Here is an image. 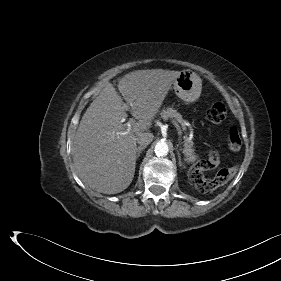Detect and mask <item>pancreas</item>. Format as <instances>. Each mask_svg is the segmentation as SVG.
Listing matches in <instances>:
<instances>
[{
	"label": "pancreas",
	"mask_w": 281,
	"mask_h": 281,
	"mask_svg": "<svg viewBox=\"0 0 281 281\" xmlns=\"http://www.w3.org/2000/svg\"><path fill=\"white\" fill-rule=\"evenodd\" d=\"M161 118L163 120H168V119H172L174 120L176 123H180L181 127L183 130H186V120H184L182 118V115L177 112V110L173 109V108H166L163 109L160 113ZM184 141V149H183V153L185 154L186 157V161L188 163L193 164L192 167H195V165L199 162L198 160V156L195 154V149H194V143L193 141L186 135L183 137Z\"/></svg>",
	"instance_id": "pancreas-1"
}]
</instances>
